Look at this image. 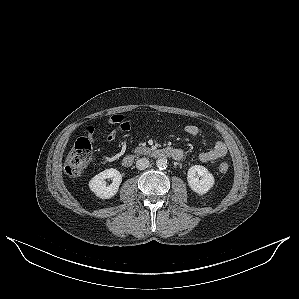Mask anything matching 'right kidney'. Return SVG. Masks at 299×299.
Masks as SVG:
<instances>
[{"label":"right kidney","mask_w":299,"mask_h":299,"mask_svg":"<svg viewBox=\"0 0 299 299\" xmlns=\"http://www.w3.org/2000/svg\"><path fill=\"white\" fill-rule=\"evenodd\" d=\"M111 178L112 183L106 186L105 179ZM122 182V175L116 169H106L99 174L95 175L89 181V188L91 191L101 199H110L113 197L119 189V185Z\"/></svg>","instance_id":"1"}]
</instances>
